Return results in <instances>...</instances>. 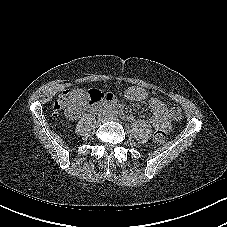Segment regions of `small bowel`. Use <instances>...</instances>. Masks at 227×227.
Here are the masks:
<instances>
[{
    "mask_svg": "<svg viewBox=\"0 0 227 227\" xmlns=\"http://www.w3.org/2000/svg\"><path fill=\"white\" fill-rule=\"evenodd\" d=\"M125 98L130 101H145L152 110L151 124L155 129L169 130V115L164 101L140 87H131L125 92Z\"/></svg>",
    "mask_w": 227,
    "mask_h": 227,
    "instance_id": "small-bowel-1",
    "label": "small bowel"
}]
</instances>
